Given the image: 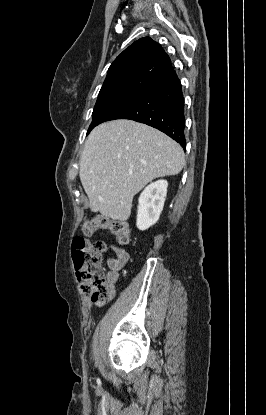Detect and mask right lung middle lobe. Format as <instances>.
Here are the masks:
<instances>
[{
    "mask_svg": "<svg viewBox=\"0 0 266 415\" xmlns=\"http://www.w3.org/2000/svg\"><path fill=\"white\" fill-rule=\"evenodd\" d=\"M149 93L131 89H119L99 93L92 113L93 121L89 126L87 134L97 125L108 121L115 113L138 102Z\"/></svg>",
    "mask_w": 266,
    "mask_h": 415,
    "instance_id": "right-lung-middle-lobe-1",
    "label": "right lung middle lobe"
}]
</instances>
